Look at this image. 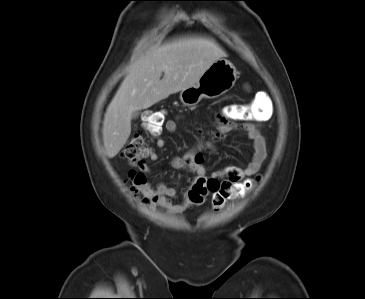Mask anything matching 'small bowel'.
<instances>
[{"instance_id":"1","label":"small bowel","mask_w":365,"mask_h":299,"mask_svg":"<svg viewBox=\"0 0 365 299\" xmlns=\"http://www.w3.org/2000/svg\"><path fill=\"white\" fill-rule=\"evenodd\" d=\"M260 118L255 120H245L238 124L230 120H216L215 134L218 136L227 134L236 128H241L247 134L248 139L252 142L253 154L251 160L245 167H232L223 171L215 172L211 176H207L205 167L203 166L204 156L201 152L203 148L211 149L209 143L200 144L197 148L178 156L173 159L172 166L176 169H187L194 172L198 176L196 184L206 182H237L245 177L256 175L262 168V165L267 157V149L264 137L262 136L258 124ZM164 129L169 132H175L177 129V122L174 119H169L164 123ZM156 145L159 148L165 146V141L161 134L156 135ZM151 161H157L159 155L155 151L149 153ZM139 169L144 172H150V167L144 163L139 165ZM143 193L154 204L172 213L182 212L183 204L175 205L171 202V198L175 197L176 190L165 183H159L155 188L148 184L141 186Z\"/></svg>"}]
</instances>
